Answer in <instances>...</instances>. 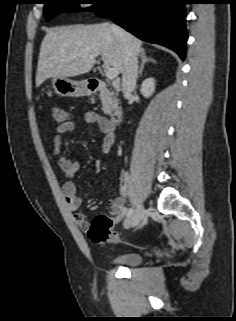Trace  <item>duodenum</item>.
Returning a JSON list of instances; mask_svg holds the SVG:
<instances>
[{
    "label": "duodenum",
    "instance_id": "410a0bca",
    "mask_svg": "<svg viewBox=\"0 0 236 321\" xmlns=\"http://www.w3.org/2000/svg\"><path fill=\"white\" fill-rule=\"evenodd\" d=\"M89 90L91 92H107V86L105 82L98 78H93L88 84ZM123 118V111L119 108H113L109 112V120L114 124L118 125Z\"/></svg>",
    "mask_w": 236,
    "mask_h": 321
}]
</instances>
